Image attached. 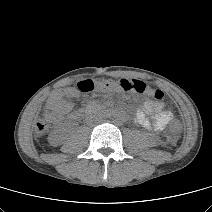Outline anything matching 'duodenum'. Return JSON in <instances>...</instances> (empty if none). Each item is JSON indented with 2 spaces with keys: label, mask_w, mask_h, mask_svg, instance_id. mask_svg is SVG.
Masks as SVG:
<instances>
[{
  "label": "duodenum",
  "mask_w": 212,
  "mask_h": 212,
  "mask_svg": "<svg viewBox=\"0 0 212 212\" xmlns=\"http://www.w3.org/2000/svg\"><path fill=\"white\" fill-rule=\"evenodd\" d=\"M96 109L100 110L101 108L99 106H97V105H90V106H88L86 108H83V109L79 110L78 113H77V117L79 118V117L83 116L85 113H87L88 111L96 110Z\"/></svg>",
  "instance_id": "duodenum-1"
}]
</instances>
